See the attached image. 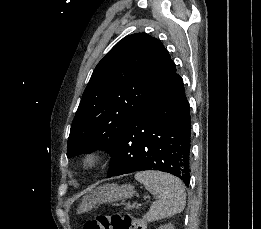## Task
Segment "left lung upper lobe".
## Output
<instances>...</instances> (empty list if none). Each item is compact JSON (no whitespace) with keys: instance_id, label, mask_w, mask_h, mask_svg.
<instances>
[{"instance_id":"obj_1","label":"left lung upper lobe","mask_w":261,"mask_h":229,"mask_svg":"<svg viewBox=\"0 0 261 229\" xmlns=\"http://www.w3.org/2000/svg\"><path fill=\"white\" fill-rule=\"evenodd\" d=\"M176 72L168 51L146 33L129 35L96 66L73 119L67 156L115 150L150 94Z\"/></svg>"}]
</instances>
